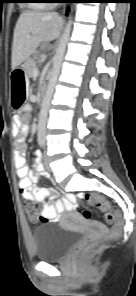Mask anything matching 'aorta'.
<instances>
[{
    "label": "aorta",
    "instance_id": "762f6f07",
    "mask_svg": "<svg viewBox=\"0 0 136 296\" xmlns=\"http://www.w3.org/2000/svg\"><path fill=\"white\" fill-rule=\"evenodd\" d=\"M71 25H72V20L70 16L69 21L67 22L64 32L62 34V37L60 39L59 45L57 47L56 54L53 58V66L50 72L48 87L42 102V106L39 114V121H38V139L39 140H45L47 116H48L50 101L54 92V88L57 83V79L60 73L66 46L70 37Z\"/></svg>",
    "mask_w": 136,
    "mask_h": 296
}]
</instances>
